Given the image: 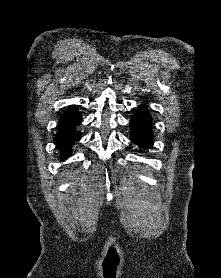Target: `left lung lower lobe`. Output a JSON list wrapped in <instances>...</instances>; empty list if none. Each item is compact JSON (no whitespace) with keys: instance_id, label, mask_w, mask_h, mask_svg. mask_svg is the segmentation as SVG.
Masks as SVG:
<instances>
[{"instance_id":"0a47b994","label":"left lung lower lobe","mask_w":221,"mask_h":278,"mask_svg":"<svg viewBox=\"0 0 221 278\" xmlns=\"http://www.w3.org/2000/svg\"><path fill=\"white\" fill-rule=\"evenodd\" d=\"M152 117L145 106H140L138 112L132 116L131 140L142 148H149L153 144Z\"/></svg>"}]
</instances>
